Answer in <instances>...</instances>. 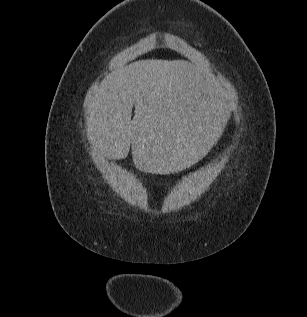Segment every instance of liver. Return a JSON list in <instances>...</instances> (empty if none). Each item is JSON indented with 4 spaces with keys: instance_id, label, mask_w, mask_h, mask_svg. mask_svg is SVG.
<instances>
[{
    "instance_id": "6515ba94",
    "label": "liver",
    "mask_w": 307,
    "mask_h": 317,
    "mask_svg": "<svg viewBox=\"0 0 307 317\" xmlns=\"http://www.w3.org/2000/svg\"><path fill=\"white\" fill-rule=\"evenodd\" d=\"M223 91L205 65L136 61L89 89L86 135L116 158L132 144L133 162L145 175H183L222 142L229 118Z\"/></svg>"
}]
</instances>
